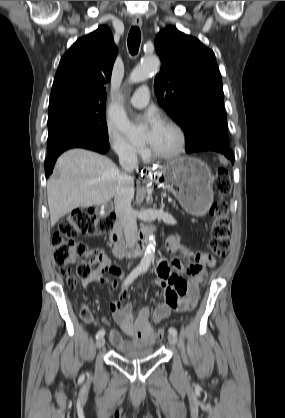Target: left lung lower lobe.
Wrapping results in <instances>:
<instances>
[{"mask_svg": "<svg viewBox=\"0 0 285 418\" xmlns=\"http://www.w3.org/2000/svg\"><path fill=\"white\" fill-rule=\"evenodd\" d=\"M198 151H217L224 154L228 159L234 163V156L230 146L222 144H202L196 147H193L189 150H186L187 153L198 152Z\"/></svg>", "mask_w": 285, "mask_h": 418, "instance_id": "1", "label": "left lung lower lobe"}]
</instances>
